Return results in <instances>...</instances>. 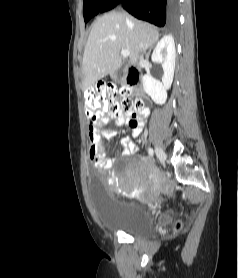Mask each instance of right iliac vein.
Returning <instances> with one entry per match:
<instances>
[{
  "mask_svg": "<svg viewBox=\"0 0 238 278\" xmlns=\"http://www.w3.org/2000/svg\"><path fill=\"white\" fill-rule=\"evenodd\" d=\"M155 153L160 160H163L165 158V152L163 151V149L161 147L156 146Z\"/></svg>",
  "mask_w": 238,
  "mask_h": 278,
  "instance_id": "1",
  "label": "right iliac vein"
}]
</instances>
